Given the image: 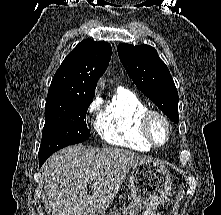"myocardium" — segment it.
Segmentation results:
<instances>
[{"instance_id":"myocardium-1","label":"myocardium","mask_w":221,"mask_h":215,"mask_svg":"<svg viewBox=\"0 0 221 215\" xmlns=\"http://www.w3.org/2000/svg\"><path fill=\"white\" fill-rule=\"evenodd\" d=\"M161 121L166 128V138L163 142H158L152 132V124L154 121ZM141 130L147 141L154 147L165 146L172 134V126L169 119L160 111L147 109L141 117Z\"/></svg>"}]
</instances>
